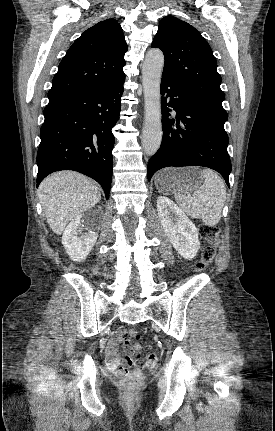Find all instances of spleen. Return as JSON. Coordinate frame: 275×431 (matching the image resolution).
Listing matches in <instances>:
<instances>
[{"instance_id":"obj_1","label":"spleen","mask_w":275,"mask_h":431,"mask_svg":"<svg viewBox=\"0 0 275 431\" xmlns=\"http://www.w3.org/2000/svg\"><path fill=\"white\" fill-rule=\"evenodd\" d=\"M203 184L192 197L175 193L174 197L180 208L192 218H200L207 226H215L221 219L222 208L226 200V189L220 176L210 169L201 172Z\"/></svg>"}]
</instances>
